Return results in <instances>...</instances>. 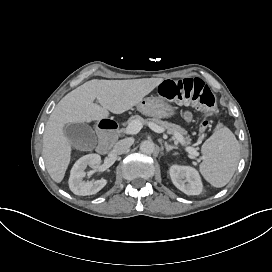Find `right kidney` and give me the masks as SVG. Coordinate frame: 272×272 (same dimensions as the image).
<instances>
[{"label":"right kidney","instance_id":"1","mask_svg":"<svg viewBox=\"0 0 272 272\" xmlns=\"http://www.w3.org/2000/svg\"><path fill=\"white\" fill-rule=\"evenodd\" d=\"M100 161L101 157L99 154L85 155L77 160L71 169L69 178V188L74 194L82 196L95 195L108 184V180L106 178L96 180L94 183L84 180L87 166H91L96 169L97 164Z\"/></svg>","mask_w":272,"mask_h":272}]
</instances>
